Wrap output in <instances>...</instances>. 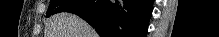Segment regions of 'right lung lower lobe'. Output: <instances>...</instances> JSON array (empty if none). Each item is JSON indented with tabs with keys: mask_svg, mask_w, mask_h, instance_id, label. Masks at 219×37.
Wrapping results in <instances>:
<instances>
[{
	"mask_svg": "<svg viewBox=\"0 0 219 37\" xmlns=\"http://www.w3.org/2000/svg\"><path fill=\"white\" fill-rule=\"evenodd\" d=\"M152 0H80L64 12L88 22L101 37H145Z\"/></svg>",
	"mask_w": 219,
	"mask_h": 37,
	"instance_id": "98d812e1",
	"label": "right lung lower lobe"
}]
</instances>
